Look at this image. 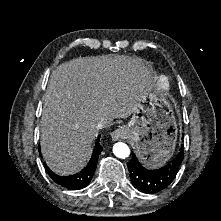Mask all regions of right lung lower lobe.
Returning <instances> with one entry per match:
<instances>
[{
  "instance_id": "right-lung-lower-lobe-1",
  "label": "right lung lower lobe",
  "mask_w": 221,
  "mask_h": 221,
  "mask_svg": "<svg viewBox=\"0 0 221 221\" xmlns=\"http://www.w3.org/2000/svg\"><path fill=\"white\" fill-rule=\"evenodd\" d=\"M103 150V147L99 143V139L95 144V148L92 153V157L88 165L79 173L70 176H59L53 173L45 164V169L49 176L59 185L71 190L82 189L90 183L97 167V161L99 154Z\"/></svg>"
}]
</instances>
